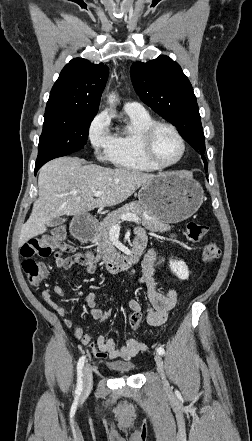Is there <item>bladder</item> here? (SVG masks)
<instances>
[{
  "instance_id": "31cf9c89",
  "label": "bladder",
  "mask_w": 252,
  "mask_h": 441,
  "mask_svg": "<svg viewBox=\"0 0 252 441\" xmlns=\"http://www.w3.org/2000/svg\"><path fill=\"white\" fill-rule=\"evenodd\" d=\"M135 364L130 362L124 363H112L109 365V368L118 372V373H129L135 369Z\"/></svg>"
}]
</instances>
